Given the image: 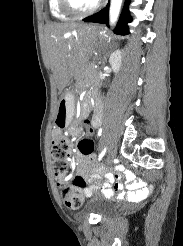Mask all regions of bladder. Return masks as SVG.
<instances>
[{
    "label": "bladder",
    "instance_id": "obj_1",
    "mask_svg": "<svg viewBox=\"0 0 183 246\" xmlns=\"http://www.w3.org/2000/svg\"><path fill=\"white\" fill-rule=\"evenodd\" d=\"M118 210V205L112 200L105 198H94L90 200L86 206L85 212H94L101 217H107L114 214Z\"/></svg>",
    "mask_w": 183,
    "mask_h": 246
}]
</instances>
